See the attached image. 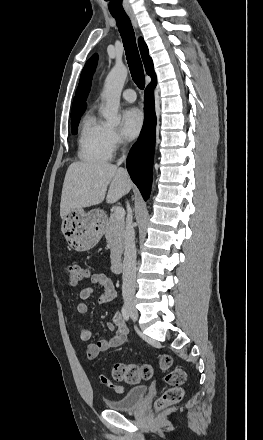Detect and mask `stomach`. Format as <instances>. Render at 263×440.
<instances>
[{"mask_svg": "<svg viewBox=\"0 0 263 440\" xmlns=\"http://www.w3.org/2000/svg\"><path fill=\"white\" fill-rule=\"evenodd\" d=\"M105 221L98 210H72L62 220V232L72 249L88 251L101 239Z\"/></svg>", "mask_w": 263, "mask_h": 440, "instance_id": "obj_1", "label": "stomach"}]
</instances>
